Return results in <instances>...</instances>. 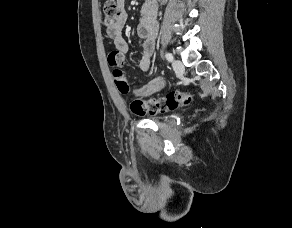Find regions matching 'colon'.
Segmentation results:
<instances>
[{
  "label": "colon",
  "mask_w": 292,
  "mask_h": 228,
  "mask_svg": "<svg viewBox=\"0 0 292 228\" xmlns=\"http://www.w3.org/2000/svg\"><path fill=\"white\" fill-rule=\"evenodd\" d=\"M120 16L121 12L117 1L107 0L103 6L104 24L107 27L114 26L119 22ZM108 63L115 69L114 76L118 89L122 93H127L129 91L128 83L123 73L119 70L123 63L122 56L116 51H111L108 55ZM191 100V95L186 92L171 91L163 97L152 98L147 101L132 99L130 101V109L137 115H145L147 113L175 110L180 106L189 104Z\"/></svg>",
  "instance_id": "colon-1"
}]
</instances>
